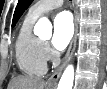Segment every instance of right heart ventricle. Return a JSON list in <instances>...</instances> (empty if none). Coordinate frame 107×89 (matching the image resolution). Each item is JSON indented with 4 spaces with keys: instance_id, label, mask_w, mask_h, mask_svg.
Returning <instances> with one entry per match:
<instances>
[{
    "instance_id": "1",
    "label": "right heart ventricle",
    "mask_w": 107,
    "mask_h": 89,
    "mask_svg": "<svg viewBox=\"0 0 107 89\" xmlns=\"http://www.w3.org/2000/svg\"><path fill=\"white\" fill-rule=\"evenodd\" d=\"M37 18H24L15 42V57L20 71L28 76H42L46 72V58L43 42L33 33V24Z\"/></svg>"
}]
</instances>
